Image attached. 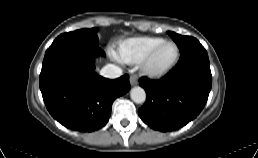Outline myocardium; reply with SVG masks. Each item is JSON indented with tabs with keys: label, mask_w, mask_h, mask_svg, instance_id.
<instances>
[{
	"label": "myocardium",
	"mask_w": 258,
	"mask_h": 158,
	"mask_svg": "<svg viewBox=\"0 0 258 158\" xmlns=\"http://www.w3.org/2000/svg\"><path fill=\"white\" fill-rule=\"evenodd\" d=\"M164 44H172L175 47L176 54L174 59L165 67L159 69V70H154L150 67V62L152 58L154 57L155 53L157 50ZM180 58V51L177 46V44L171 40H163L161 41L158 45H156L143 59L141 62V71L144 75L148 76L149 78L153 79H159L164 77L166 74H168L178 63Z\"/></svg>",
	"instance_id": "myocardium-1"
}]
</instances>
